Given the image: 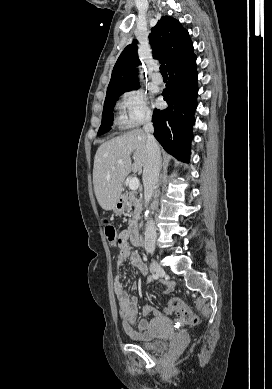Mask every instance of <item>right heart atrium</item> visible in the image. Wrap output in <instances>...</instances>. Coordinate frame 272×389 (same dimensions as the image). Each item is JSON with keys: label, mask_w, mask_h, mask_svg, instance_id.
Returning a JSON list of instances; mask_svg holds the SVG:
<instances>
[{"label": "right heart atrium", "mask_w": 272, "mask_h": 389, "mask_svg": "<svg viewBox=\"0 0 272 389\" xmlns=\"http://www.w3.org/2000/svg\"><path fill=\"white\" fill-rule=\"evenodd\" d=\"M117 107L120 120L127 127H136L150 120L148 99L140 90L131 89L123 93Z\"/></svg>", "instance_id": "1"}]
</instances>
